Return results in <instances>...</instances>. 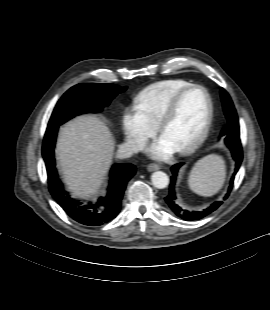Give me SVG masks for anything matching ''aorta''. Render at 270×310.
<instances>
[{
	"mask_svg": "<svg viewBox=\"0 0 270 310\" xmlns=\"http://www.w3.org/2000/svg\"><path fill=\"white\" fill-rule=\"evenodd\" d=\"M151 182L154 187L158 189H164L169 184V177L162 171H156L151 175Z\"/></svg>",
	"mask_w": 270,
	"mask_h": 310,
	"instance_id": "aorta-1",
	"label": "aorta"
}]
</instances>
